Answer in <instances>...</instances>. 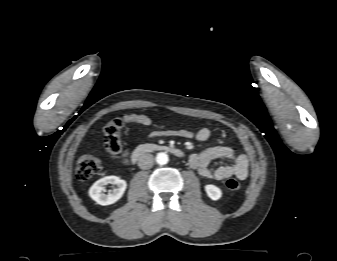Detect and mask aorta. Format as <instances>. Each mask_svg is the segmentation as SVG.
Here are the masks:
<instances>
[{
    "label": "aorta",
    "instance_id": "aorta-1",
    "mask_svg": "<svg viewBox=\"0 0 337 261\" xmlns=\"http://www.w3.org/2000/svg\"><path fill=\"white\" fill-rule=\"evenodd\" d=\"M169 161L168 155L164 152H160L156 155V162L159 165H165Z\"/></svg>",
    "mask_w": 337,
    "mask_h": 261
}]
</instances>
